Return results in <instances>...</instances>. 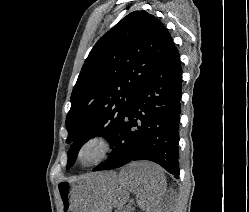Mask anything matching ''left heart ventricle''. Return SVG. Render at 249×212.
<instances>
[{
	"mask_svg": "<svg viewBox=\"0 0 249 212\" xmlns=\"http://www.w3.org/2000/svg\"><path fill=\"white\" fill-rule=\"evenodd\" d=\"M102 150L103 146L100 143H92L84 149L81 159L83 161L93 160L101 154Z\"/></svg>",
	"mask_w": 249,
	"mask_h": 212,
	"instance_id": "obj_1",
	"label": "left heart ventricle"
}]
</instances>
